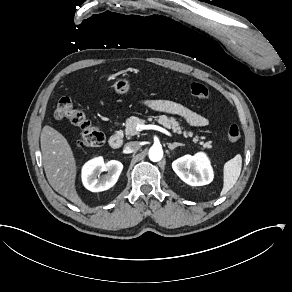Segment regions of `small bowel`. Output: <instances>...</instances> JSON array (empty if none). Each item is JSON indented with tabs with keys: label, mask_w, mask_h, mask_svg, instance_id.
I'll list each match as a JSON object with an SVG mask.
<instances>
[{
	"label": "small bowel",
	"mask_w": 292,
	"mask_h": 292,
	"mask_svg": "<svg viewBox=\"0 0 292 292\" xmlns=\"http://www.w3.org/2000/svg\"><path fill=\"white\" fill-rule=\"evenodd\" d=\"M140 103L154 111L178 116L194 127H203L208 124L206 116L175 101L165 99H141Z\"/></svg>",
	"instance_id": "small-bowel-1"
}]
</instances>
